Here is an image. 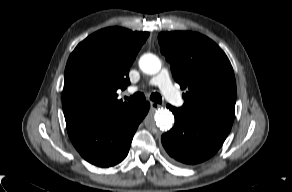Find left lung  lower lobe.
Returning a JSON list of instances; mask_svg holds the SVG:
<instances>
[{
	"label": "left lung lower lobe",
	"mask_w": 292,
	"mask_h": 192,
	"mask_svg": "<svg viewBox=\"0 0 292 192\" xmlns=\"http://www.w3.org/2000/svg\"><path fill=\"white\" fill-rule=\"evenodd\" d=\"M175 116L174 127L162 135L168 155L179 164H197L209 159L222 146L231 127L217 123L187 120L171 105Z\"/></svg>",
	"instance_id": "0a47b994"
}]
</instances>
